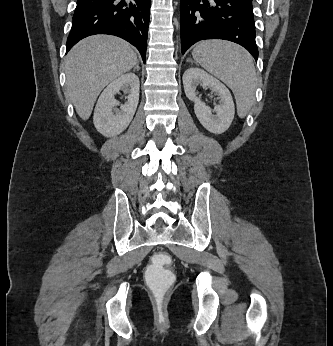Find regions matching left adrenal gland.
Segmentation results:
<instances>
[{"label": "left adrenal gland", "instance_id": "1", "mask_svg": "<svg viewBox=\"0 0 333 346\" xmlns=\"http://www.w3.org/2000/svg\"><path fill=\"white\" fill-rule=\"evenodd\" d=\"M187 62L193 63V60H192L191 58H188V59H187Z\"/></svg>", "mask_w": 333, "mask_h": 346}]
</instances>
